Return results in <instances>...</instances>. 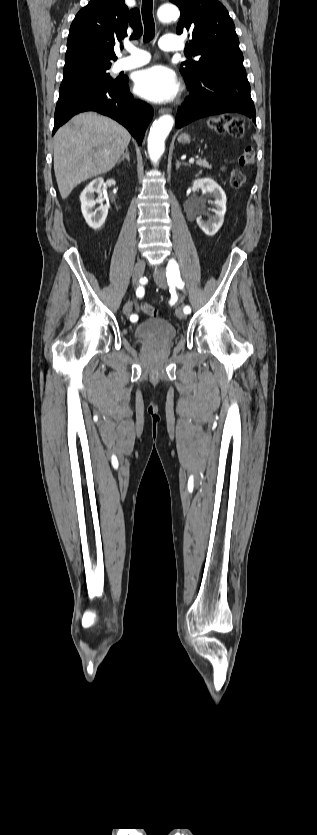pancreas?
<instances>
[{
	"instance_id": "obj_1",
	"label": "pancreas",
	"mask_w": 317,
	"mask_h": 835,
	"mask_svg": "<svg viewBox=\"0 0 317 835\" xmlns=\"http://www.w3.org/2000/svg\"><path fill=\"white\" fill-rule=\"evenodd\" d=\"M196 164H197L198 166L203 167V168H207V169L211 168V166L208 164V162H207V160H206V159H198V160L196 161Z\"/></svg>"
}]
</instances>
